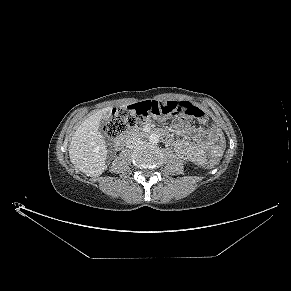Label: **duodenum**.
Masks as SVG:
<instances>
[{"instance_id":"410a0bca","label":"duodenum","mask_w":291,"mask_h":291,"mask_svg":"<svg viewBox=\"0 0 291 291\" xmlns=\"http://www.w3.org/2000/svg\"><path fill=\"white\" fill-rule=\"evenodd\" d=\"M138 132L133 131L129 134H126L120 138H118L115 143L114 146L116 149H121L124 147V145L128 142V140H130L131 138H133L135 135H137Z\"/></svg>"}]
</instances>
